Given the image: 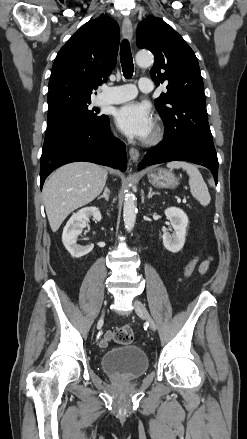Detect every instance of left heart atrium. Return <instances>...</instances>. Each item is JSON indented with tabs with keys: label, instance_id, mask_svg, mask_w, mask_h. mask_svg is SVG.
<instances>
[{
	"label": "left heart atrium",
	"instance_id": "1",
	"mask_svg": "<svg viewBox=\"0 0 247 439\" xmlns=\"http://www.w3.org/2000/svg\"><path fill=\"white\" fill-rule=\"evenodd\" d=\"M118 128L127 136L146 139L153 129V118L146 104L131 102L119 107L115 112Z\"/></svg>",
	"mask_w": 247,
	"mask_h": 439
}]
</instances>
